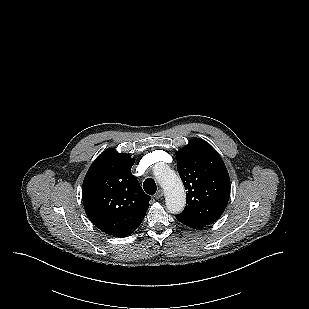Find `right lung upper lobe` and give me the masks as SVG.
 <instances>
[{"instance_id":"cb5924a9","label":"right lung upper lobe","mask_w":309,"mask_h":309,"mask_svg":"<svg viewBox=\"0 0 309 309\" xmlns=\"http://www.w3.org/2000/svg\"><path fill=\"white\" fill-rule=\"evenodd\" d=\"M130 155L107 149L90 166L82 186L85 212L103 232L126 237L143 221L149 207L146 195L131 173Z\"/></svg>"}]
</instances>
